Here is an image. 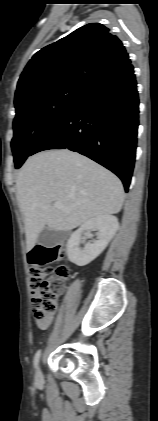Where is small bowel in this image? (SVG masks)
Segmentation results:
<instances>
[{
    "instance_id": "c3829d8e",
    "label": "small bowel",
    "mask_w": 158,
    "mask_h": 421,
    "mask_svg": "<svg viewBox=\"0 0 158 421\" xmlns=\"http://www.w3.org/2000/svg\"><path fill=\"white\" fill-rule=\"evenodd\" d=\"M52 321V317H49L45 320H36V325L41 330H46Z\"/></svg>"
}]
</instances>
